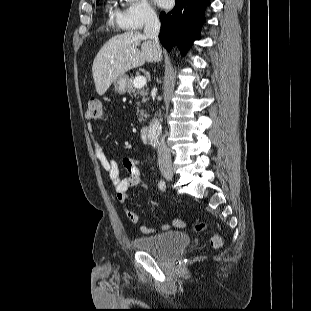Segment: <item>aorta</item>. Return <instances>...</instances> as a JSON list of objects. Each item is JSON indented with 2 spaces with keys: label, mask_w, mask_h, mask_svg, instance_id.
Instances as JSON below:
<instances>
[{
  "label": "aorta",
  "mask_w": 311,
  "mask_h": 311,
  "mask_svg": "<svg viewBox=\"0 0 311 311\" xmlns=\"http://www.w3.org/2000/svg\"><path fill=\"white\" fill-rule=\"evenodd\" d=\"M134 1V0H129ZM161 133V124L157 118L152 119L148 128V139L150 144L155 148L158 146V138Z\"/></svg>",
  "instance_id": "obj_1"
}]
</instances>
